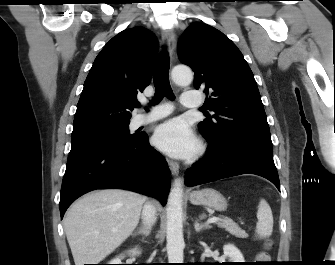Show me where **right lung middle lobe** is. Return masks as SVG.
<instances>
[{
    "instance_id": "right-lung-middle-lobe-1",
    "label": "right lung middle lobe",
    "mask_w": 335,
    "mask_h": 265,
    "mask_svg": "<svg viewBox=\"0 0 335 265\" xmlns=\"http://www.w3.org/2000/svg\"><path fill=\"white\" fill-rule=\"evenodd\" d=\"M129 122H98L73 127L71 135L72 147L88 143H119L134 139L130 135Z\"/></svg>"
}]
</instances>
